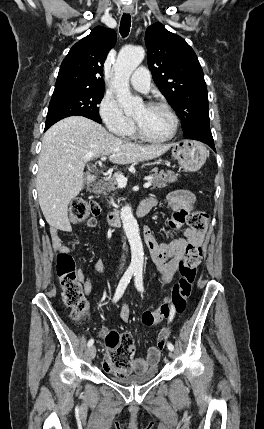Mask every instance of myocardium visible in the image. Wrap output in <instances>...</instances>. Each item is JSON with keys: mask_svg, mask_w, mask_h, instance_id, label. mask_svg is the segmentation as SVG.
I'll use <instances>...</instances> for the list:
<instances>
[{"mask_svg": "<svg viewBox=\"0 0 264 429\" xmlns=\"http://www.w3.org/2000/svg\"><path fill=\"white\" fill-rule=\"evenodd\" d=\"M145 106H147L149 108L162 109V110L166 111L168 113V115L172 118L173 128H172L171 133L164 138H152V137H149L143 131L140 124L134 119L135 131H136L137 136L141 140L149 142V143H165V142L172 140L176 136L178 129H179V118H178L177 114L173 111V109L168 104H166L164 102L151 101V102H148Z\"/></svg>", "mask_w": 264, "mask_h": 429, "instance_id": "obj_1", "label": "myocardium"}]
</instances>
